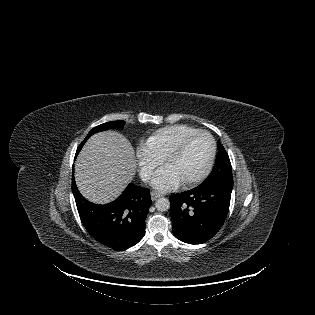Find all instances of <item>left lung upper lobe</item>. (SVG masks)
<instances>
[{
  "label": "left lung upper lobe",
  "mask_w": 315,
  "mask_h": 315,
  "mask_svg": "<svg viewBox=\"0 0 315 315\" xmlns=\"http://www.w3.org/2000/svg\"><path fill=\"white\" fill-rule=\"evenodd\" d=\"M203 183L209 185H233L230 159L220 142H218V154L214 168Z\"/></svg>",
  "instance_id": "1"
}]
</instances>
